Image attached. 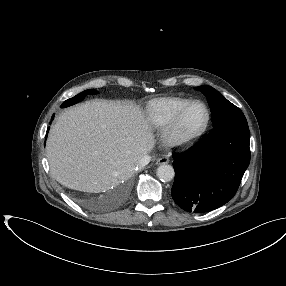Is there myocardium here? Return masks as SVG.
Returning <instances> with one entry per match:
<instances>
[{
  "instance_id": "1",
  "label": "myocardium",
  "mask_w": 286,
  "mask_h": 286,
  "mask_svg": "<svg viewBox=\"0 0 286 286\" xmlns=\"http://www.w3.org/2000/svg\"><path fill=\"white\" fill-rule=\"evenodd\" d=\"M196 104H201L206 111V119L204 124L198 130L187 134L181 135L180 128L184 121L188 111ZM211 120V112L208 106L200 100L191 101L179 114L178 116L164 129L163 141L164 143L172 148H182L191 145L197 141L207 130Z\"/></svg>"
}]
</instances>
